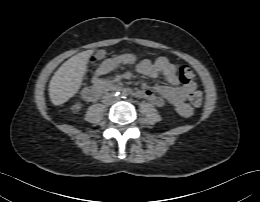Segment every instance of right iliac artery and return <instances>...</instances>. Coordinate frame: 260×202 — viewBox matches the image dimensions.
<instances>
[{
    "label": "right iliac artery",
    "instance_id": "82829eb1",
    "mask_svg": "<svg viewBox=\"0 0 260 202\" xmlns=\"http://www.w3.org/2000/svg\"><path fill=\"white\" fill-rule=\"evenodd\" d=\"M113 93H114V96H119L121 94L118 89H115Z\"/></svg>",
    "mask_w": 260,
    "mask_h": 202
}]
</instances>
